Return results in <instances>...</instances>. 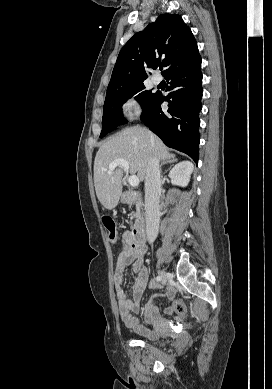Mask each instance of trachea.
Returning a JSON list of instances; mask_svg holds the SVG:
<instances>
[{
	"label": "trachea",
	"mask_w": 272,
	"mask_h": 389,
	"mask_svg": "<svg viewBox=\"0 0 272 389\" xmlns=\"http://www.w3.org/2000/svg\"><path fill=\"white\" fill-rule=\"evenodd\" d=\"M159 69L162 70V69H163V66H160Z\"/></svg>",
	"instance_id": "1"
}]
</instances>
